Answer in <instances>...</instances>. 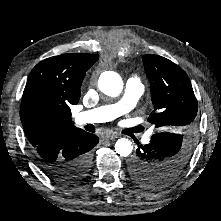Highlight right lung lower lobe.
I'll return each instance as SVG.
<instances>
[{"label":"right lung lower lobe","instance_id":"1","mask_svg":"<svg viewBox=\"0 0 221 221\" xmlns=\"http://www.w3.org/2000/svg\"><path fill=\"white\" fill-rule=\"evenodd\" d=\"M99 138L84 130L62 133L33 148L42 171L53 180L70 184L85 177L90 168V150Z\"/></svg>","mask_w":221,"mask_h":221}]
</instances>
